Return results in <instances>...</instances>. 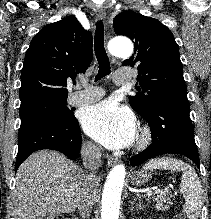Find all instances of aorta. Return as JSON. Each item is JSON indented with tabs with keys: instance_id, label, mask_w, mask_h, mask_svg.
<instances>
[{
	"instance_id": "aorta-1",
	"label": "aorta",
	"mask_w": 211,
	"mask_h": 219,
	"mask_svg": "<svg viewBox=\"0 0 211 219\" xmlns=\"http://www.w3.org/2000/svg\"><path fill=\"white\" fill-rule=\"evenodd\" d=\"M113 55L129 58L133 53V44L130 40H115L110 46ZM125 166H114L106 179L102 194L101 219H119L120 199L125 179Z\"/></svg>"
}]
</instances>
